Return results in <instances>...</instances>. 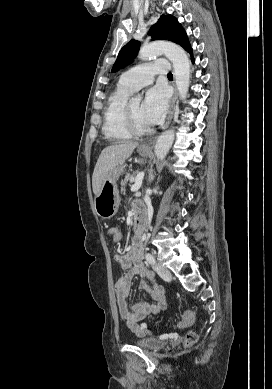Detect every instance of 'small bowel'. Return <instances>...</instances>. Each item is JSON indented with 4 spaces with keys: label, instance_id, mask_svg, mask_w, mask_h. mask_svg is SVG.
Listing matches in <instances>:
<instances>
[{
    "label": "small bowel",
    "instance_id": "1",
    "mask_svg": "<svg viewBox=\"0 0 272 389\" xmlns=\"http://www.w3.org/2000/svg\"><path fill=\"white\" fill-rule=\"evenodd\" d=\"M134 211H143L142 206L134 204ZM117 263L125 270L115 283V292L119 313L127 327L138 335L147 332V325L139 323L150 313H158L166 307L164 287L157 283L154 274L148 270L143 261L142 245L138 239H134L132 247L126 254L115 256ZM134 276L141 278L140 288L144 289L155 301V305H149L143 301H136L131 307L128 306L127 298L130 293L131 281Z\"/></svg>",
    "mask_w": 272,
    "mask_h": 389
}]
</instances>
